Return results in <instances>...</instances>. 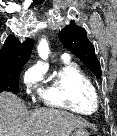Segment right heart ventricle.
Listing matches in <instances>:
<instances>
[{
    "instance_id": "right-heart-ventricle-1",
    "label": "right heart ventricle",
    "mask_w": 117,
    "mask_h": 136,
    "mask_svg": "<svg viewBox=\"0 0 117 136\" xmlns=\"http://www.w3.org/2000/svg\"><path fill=\"white\" fill-rule=\"evenodd\" d=\"M45 105L80 115L97 111L98 100L91 79L74 63L66 61L42 93Z\"/></svg>"
}]
</instances>
